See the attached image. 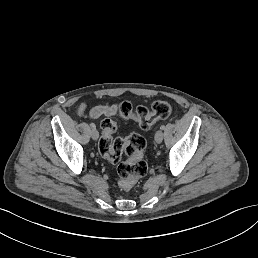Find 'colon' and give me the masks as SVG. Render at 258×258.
I'll use <instances>...</instances> for the list:
<instances>
[{
	"label": "colon",
	"mask_w": 258,
	"mask_h": 258,
	"mask_svg": "<svg viewBox=\"0 0 258 258\" xmlns=\"http://www.w3.org/2000/svg\"><path fill=\"white\" fill-rule=\"evenodd\" d=\"M170 113L171 105L164 100L155 101L150 108H134L131 103L123 102L119 105L118 117L134 120L142 130H148L155 122L167 119ZM100 127L99 152L105 159L117 164L118 184L121 189L128 191L147 172L148 165L144 158L146 141L137 133L125 138H114L117 131L115 118L103 119ZM123 155L127 156L125 161H121Z\"/></svg>",
	"instance_id": "5ec220e1"
}]
</instances>
